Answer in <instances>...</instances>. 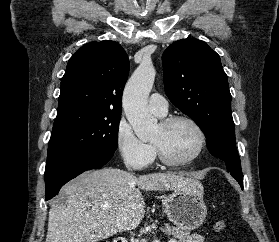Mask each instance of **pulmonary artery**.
Returning <instances> with one entry per match:
<instances>
[{"mask_svg": "<svg viewBox=\"0 0 279 242\" xmlns=\"http://www.w3.org/2000/svg\"><path fill=\"white\" fill-rule=\"evenodd\" d=\"M148 107L151 112L159 117H164L168 112V102L166 98L159 93H153L150 96Z\"/></svg>", "mask_w": 279, "mask_h": 242, "instance_id": "e3ab8cb5", "label": "pulmonary artery"}]
</instances>
